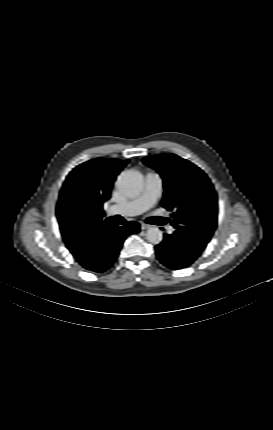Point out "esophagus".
<instances>
[{
    "label": "esophagus",
    "instance_id": "esophagus-1",
    "mask_svg": "<svg viewBox=\"0 0 273 430\" xmlns=\"http://www.w3.org/2000/svg\"><path fill=\"white\" fill-rule=\"evenodd\" d=\"M149 228H150V225H149V224L141 223V229H142V230L149 229Z\"/></svg>",
    "mask_w": 273,
    "mask_h": 430
}]
</instances>
